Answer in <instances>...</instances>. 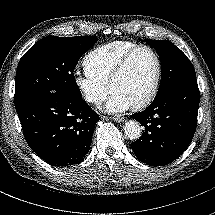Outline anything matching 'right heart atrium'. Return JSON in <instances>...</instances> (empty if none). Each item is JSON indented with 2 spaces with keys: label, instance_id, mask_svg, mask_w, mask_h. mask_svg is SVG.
<instances>
[{
  "label": "right heart atrium",
  "instance_id": "d8ad5b80",
  "mask_svg": "<svg viewBox=\"0 0 215 215\" xmlns=\"http://www.w3.org/2000/svg\"><path fill=\"white\" fill-rule=\"evenodd\" d=\"M73 81L77 91L88 104L98 105L106 98L107 84L86 72L75 71Z\"/></svg>",
  "mask_w": 215,
  "mask_h": 215
}]
</instances>
